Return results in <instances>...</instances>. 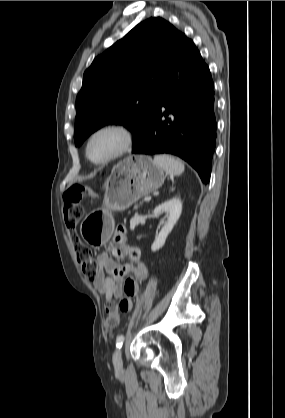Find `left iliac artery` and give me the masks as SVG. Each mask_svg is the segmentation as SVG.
<instances>
[{
	"label": "left iliac artery",
	"mask_w": 285,
	"mask_h": 418,
	"mask_svg": "<svg viewBox=\"0 0 285 418\" xmlns=\"http://www.w3.org/2000/svg\"><path fill=\"white\" fill-rule=\"evenodd\" d=\"M124 342V335L120 334L116 339V347L121 348Z\"/></svg>",
	"instance_id": "44dca946"
}]
</instances>
